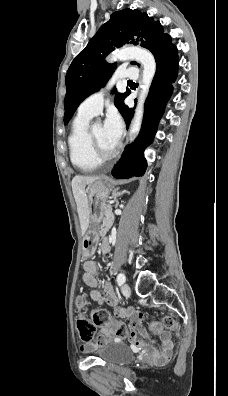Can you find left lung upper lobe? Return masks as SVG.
<instances>
[{
	"label": "left lung upper lobe",
	"mask_w": 228,
	"mask_h": 396,
	"mask_svg": "<svg viewBox=\"0 0 228 396\" xmlns=\"http://www.w3.org/2000/svg\"><path fill=\"white\" fill-rule=\"evenodd\" d=\"M164 34L158 21L139 10L124 9L114 12L110 20L102 25L87 46L74 58L66 74V95L64 99V123L72 118L79 104L97 91L111 77L116 64H105L107 56L124 44L140 43L148 48L150 43ZM135 64V62H132ZM129 93H118L115 105L119 111Z\"/></svg>",
	"instance_id": "1"
}]
</instances>
